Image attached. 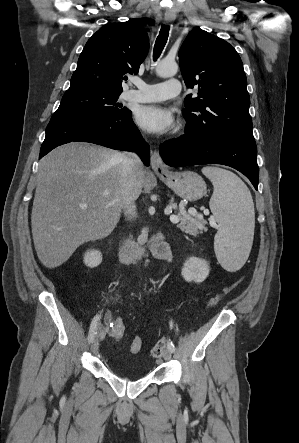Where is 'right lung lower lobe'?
Here are the masks:
<instances>
[{
	"label": "right lung lower lobe",
	"mask_w": 299,
	"mask_h": 443,
	"mask_svg": "<svg viewBox=\"0 0 299 443\" xmlns=\"http://www.w3.org/2000/svg\"><path fill=\"white\" fill-rule=\"evenodd\" d=\"M69 142H89L116 150L135 151L145 165L150 150L132 121V114L92 116L55 112L47 128L39 158Z\"/></svg>",
	"instance_id": "obj_1"
}]
</instances>
